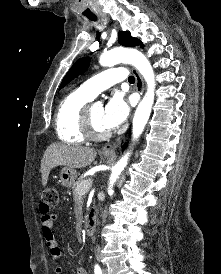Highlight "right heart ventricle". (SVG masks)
<instances>
[{"label":"right heart ventricle","mask_w":221,"mask_h":274,"mask_svg":"<svg viewBox=\"0 0 221 274\" xmlns=\"http://www.w3.org/2000/svg\"><path fill=\"white\" fill-rule=\"evenodd\" d=\"M93 98L78 88L61 100L55 115V130L61 141L68 144H81L87 140L82 127V114Z\"/></svg>","instance_id":"e07e8e85"}]
</instances>
